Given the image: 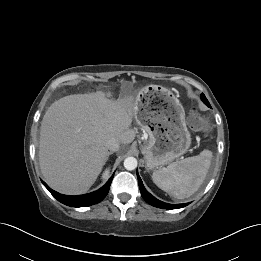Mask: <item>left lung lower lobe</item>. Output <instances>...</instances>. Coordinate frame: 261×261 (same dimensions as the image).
I'll use <instances>...</instances> for the list:
<instances>
[{"label": "left lung lower lobe", "instance_id": "1", "mask_svg": "<svg viewBox=\"0 0 261 261\" xmlns=\"http://www.w3.org/2000/svg\"><path fill=\"white\" fill-rule=\"evenodd\" d=\"M137 176H138V183H139L141 195L148 204H150L154 207L162 208V209H178V208H183L186 205H188V204H168V203L159 201L145 189L138 173H137Z\"/></svg>", "mask_w": 261, "mask_h": 261}]
</instances>
